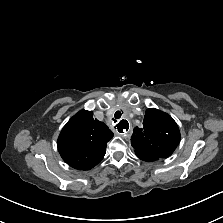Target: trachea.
I'll return each instance as SVG.
<instances>
[{
  "label": "trachea",
  "mask_w": 223,
  "mask_h": 223,
  "mask_svg": "<svg viewBox=\"0 0 223 223\" xmlns=\"http://www.w3.org/2000/svg\"><path fill=\"white\" fill-rule=\"evenodd\" d=\"M114 117H115L116 119H120V117H121V112H120V111H116L115 114H114Z\"/></svg>",
  "instance_id": "obj_1"
}]
</instances>
